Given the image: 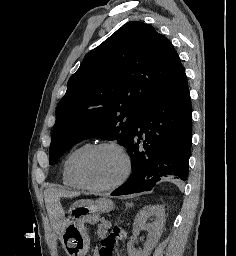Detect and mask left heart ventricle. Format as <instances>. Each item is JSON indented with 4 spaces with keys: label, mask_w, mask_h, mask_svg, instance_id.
<instances>
[{
    "label": "left heart ventricle",
    "mask_w": 236,
    "mask_h": 256,
    "mask_svg": "<svg viewBox=\"0 0 236 256\" xmlns=\"http://www.w3.org/2000/svg\"><path fill=\"white\" fill-rule=\"evenodd\" d=\"M123 170L124 160L121 153L114 148H104L88 159L85 174L92 186L107 187L120 179Z\"/></svg>",
    "instance_id": "1"
}]
</instances>
